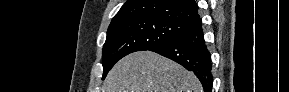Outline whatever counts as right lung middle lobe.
<instances>
[{
  "label": "right lung middle lobe",
  "mask_w": 289,
  "mask_h": 92,
  "mask_svg": "<svg viewBox=\"0 0 289 92\" xmlns=\"http://www.w3.org/2000/svg\"><path fill=\"white\" fill-rule=\"evenodd\" d=\"M187 28L185 24L155 18H131L110 25L102 50L103 79L122 57L167 43Z\"/></svg>",
  "instance_id": "1"
}]
</instances>
